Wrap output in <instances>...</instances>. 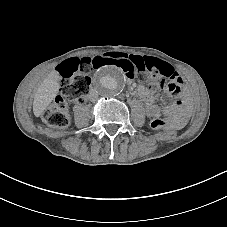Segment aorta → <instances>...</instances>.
Segmentation results:
<instances>
[{"label": "aorta", "mask_w": 227, "mask_h": 227, "mask_svg": "<svg viewBox=\"0 0 227 227\" xmlns=\"http://www.w3.org/2000/svg\"><path fill=\"white\" fill-rule=\"evenodd\" d=\"M92 86L101 96L114 97L124 89L125 78L116 66H104L95 73Z\"/></svg>", "instance_id": "obj_1"}]
</instances>
